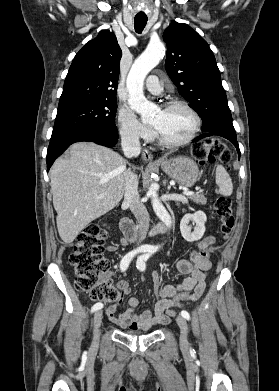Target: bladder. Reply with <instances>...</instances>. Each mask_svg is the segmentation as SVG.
<instances>
[{
	"label": "bladder",
	"instance_id": "1",
	"mask_svg": "<svg viewBox=\"0 0 279 391\" xmlns=\"http://www.w3.org/2000/svg\"><path fill=\"white\" fill-rule=\"evenodd\" d=\"M125 335H128V336H138L139 334L135 331H125L124 332Z\"/></svg>",
	"mask_w": 279,
	"mask_h": 391
}]
</instances>
